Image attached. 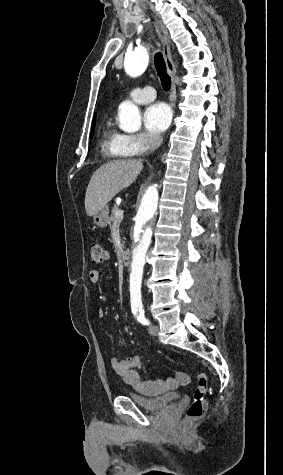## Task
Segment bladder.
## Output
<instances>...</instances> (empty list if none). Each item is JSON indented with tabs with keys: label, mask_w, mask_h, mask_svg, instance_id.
Returning <instances> with one entry per match:
<instances>
[{
	"label": "bladder",
	"mask_w": 283,
	"mask_h": 475,
	"mask_svg": "<svg viewBox=\"0 0 283 475\" xmlns=\"http://www.w3.org/2000/svg\"><path fill=\"white\" fill-rule=\"evenodd\" d=\"M126 397L134 402L135 405L151 412H156L169 406L177 405L180 400L179 396L168 394H161L155 397H143L139 393L130 391L126 392Z\"/></svg>",
	"instance_id": "bladder-1"
}]
</instances>
